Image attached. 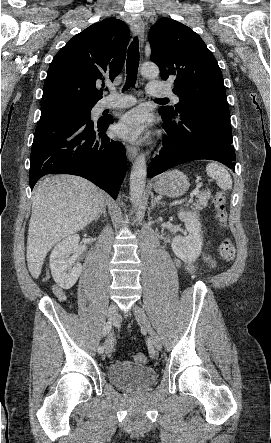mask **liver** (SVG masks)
<instances>
[{"mask_svg": "<svg viewBox=\"0 0 271 443\" xmlns=\"http://www.w3.org/2000/svg\"><path fill=\"white\" fill-rule=\"evenodd\" d=\"M104 204L102 192L79 176H45L36 184L26 251L34 279L51 247L93 222Z\"/></svg>", "mask_w": 271, "mask_h": 443, "instance_id": "1", "label": "liver"}]
</instances>
